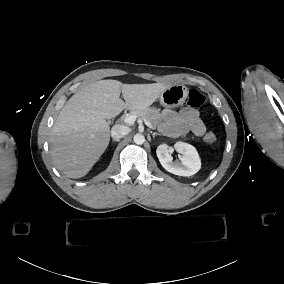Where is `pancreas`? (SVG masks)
Wrapping results in <instances>:
<instances>
[{
  "label": "pancreas",
  "instance_id": "pancreas-1",
  "mask_svg": "<svg viewBox=\"0 0 284 284\" xmlns=\"http://www.w3.org/2000/svg\"><path fill=\"white\" fill-rule=\"evenodd\" d=\"M131 115L141 118L144 121H149L154 128L162 123V114L160 110L154 108H144L131 111Z\"/></svg>",
  "mask_w": 284,
  "mask_h": 284
}]
</instances>
